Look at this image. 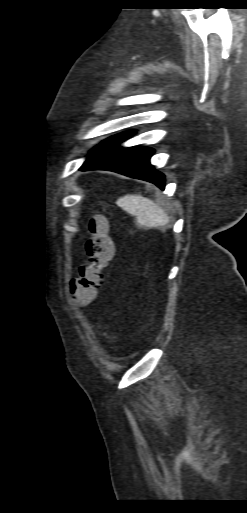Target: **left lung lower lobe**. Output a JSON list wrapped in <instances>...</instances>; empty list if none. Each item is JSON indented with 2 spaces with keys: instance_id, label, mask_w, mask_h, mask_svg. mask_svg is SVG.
I'll list each match as a JSON object with an SVG mask.
<instances>
[{
  "instance_id": "0a47b994",
  "label": "left lung lower lobe",
  "mask_w": 247,
  "mask_h": 513,
  "mask_svg": "<svg viewBox=\"0 0 247 513\" xmlns=\"http://www.w3.org/2000/svg\"><path fill=\"white\" fill-rule=\"evenodd\" d=\"M134 134L122 133L109 138L89 153L79 170H110L133 178L149 181L164 190L165 177L150 164L154 151L150 148H121L118 143Z\"/></svg>"
}]
</instances>
